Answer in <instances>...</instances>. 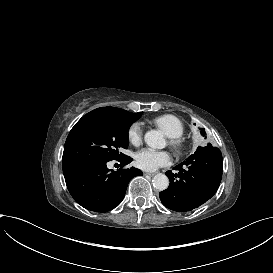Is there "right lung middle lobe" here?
<instances>
[{
    "label": "right lung middle lobe",
    "mask_w": 273,
    "mask_h": 273,
    "mask_svg": "<svg viewBox=\"0 0 273 273\" xmlns=\"http://www.w3.org/2000/svg\"><path fill=\"white\" fill-rule=\"evenodd\" d=\"M132 123L116 116L91 111L71 129L64 146L62 167L84 161H111L124 154L120 148L129 145Z\"/></svg>",
    "instance_id": "right-lung-middle-lobe-1"
}]
</instances>
